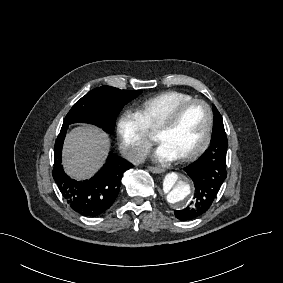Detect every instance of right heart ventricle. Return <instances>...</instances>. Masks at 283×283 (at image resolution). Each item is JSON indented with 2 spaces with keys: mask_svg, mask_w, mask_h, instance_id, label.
I'll list each match as a JSON object with an SVG mask.
<instances>
[{
  "mask_svg": "<svg viewBox=\"0 0 283 283\" xmlns=\"http://www.w3.org/2000/svg\"><path fill=\"white\" fill-rule=\"evenodd\" d=\"M192 98L185 92L168 91L140 102L135 112L141 116L149 129L155 130L160 118L166 115L171 108Z\"/></svg>",
  "mask_w": 283,
  "mask_h": 283,
  "instance_id": "1",
  "label": "right heart ventricle"
}]
</instances>
